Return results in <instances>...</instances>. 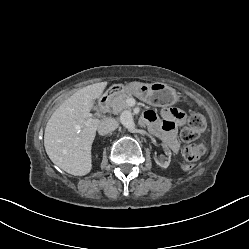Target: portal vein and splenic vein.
<instances>
[{"label": "portal vein and splenic vein", "instance_id": "obj_1", "mask_svg": "<svg viewBox=\"0 0 249 249\" xmlns=\"http://www.w3.org/2000/svg\"><path fill=\"white\" fill-rule=\"evenodd\" d=\"M84 116H85L86 118H88L87 124H90V123L92 122V120L94 119V118H93V115H92L91 113H86Z\"/></svg>", "mask_w": 249, "mask_h": 249}]
</instances>
